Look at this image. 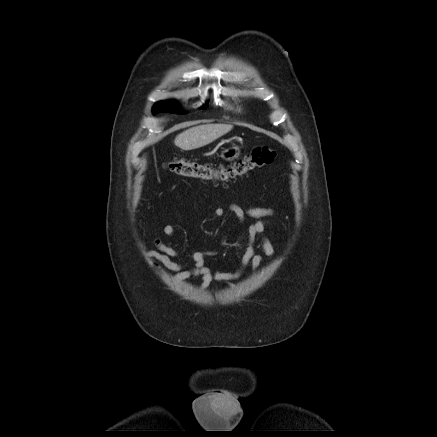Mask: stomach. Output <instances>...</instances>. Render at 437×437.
Returning <instances> with one entry per match:
<instances>
[{
  "mask_svg": "<svg viewBox=\"0 0 437 437\" xmlns=\"http://www.w3.org/2000/svg\"><path fill=\"white\" fill-rule=\"evenodd\" d=\"M239 155H240V149L237 146L228 148L221 153V157L227 161L234 160L238 158Z\"/></svg>",
  "mask_w": 437,
  "mask_h": 437,
  "instance_id": "stomach-1",
  "label": "stomach"
}]
</instances>
